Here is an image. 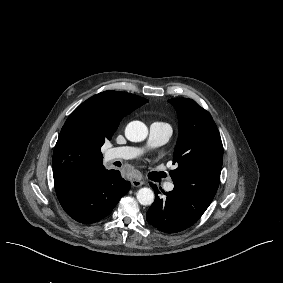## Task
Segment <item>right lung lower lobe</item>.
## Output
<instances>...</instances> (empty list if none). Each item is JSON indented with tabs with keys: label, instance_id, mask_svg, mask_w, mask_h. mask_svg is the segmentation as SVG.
I'll use <instances>...</instances> for the list:
<instances>
[{
	"label": "right lung lower lobe",
	"instance_id": "right-lung-lower-lobe-1",
	"mask_svg": "<svg viewBox=\"0 0 283 283\" xmlns=\"http://www.w3.org/2000/svg\"><path fill=\"white\" fill-rule=\"evenodd\" d=\"M129 188L130 183L120 177L119 171L101 167L76 186L56 193L69 216L90 224L108 216Z\"/></svg>",
	"mask_w": 283,
	"mask_h": 283
}]
</instances>
